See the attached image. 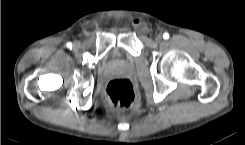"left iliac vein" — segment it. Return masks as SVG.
<instances>
[{"instance_id":"left-iliac-vein-1","label":"left iliac vein","mask_w":245,"mask_h":145,"mask_svg":"<svg viewBox=\"0 0 245 145\" xmlns=\"http://www.w3.org/2000/svg\"><path fill=\"white\" fill-rule=\"evenodd\" d=\"M162 40V35H156L155 41L160 42Z\"/></svg>"}]
</instances>
